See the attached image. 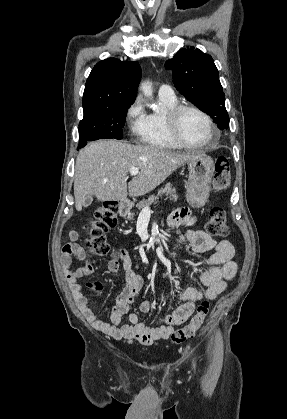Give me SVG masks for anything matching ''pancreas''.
<instances>
[{
  "instance_id": "cf45deb5",
  "label": "pancreas",
  "mask_w": 287,
  "mask_h": 419,
  "mask_svg": "<svg viewBox=\"0 0 287 419\" xmlns=\"http://www.w3.org/2000/svg\"><path fill=\"white\" fill-rule=\"evenodd\" d=\"M163 194H165L172 201H176L178 198L175 188L172 187L171 183H167L165 184L164 188H161L160 190H158L157 195L149 196L147 200H142L141 202L136 204V207L139 210H142L144 207L150 206L153 203H156V201L158 200V197L162 196ZM133 216H134V213L131 214V218H133Z\"/></svg>"
}]
</instances>
